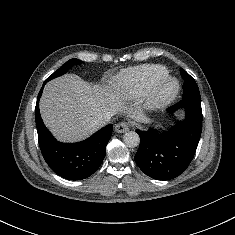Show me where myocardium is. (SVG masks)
<instances>
[{"instance_id":"obj_1","label":"myocardium","mask_w":235,"mask_h":235,"mask_svg":"<svg viewBox=\"0 0 235 235\" xmlns=\"http://www.w3.org/2000/svg\"><path fill=\"white\" fill-rule=\"evenodd\" d=\"M167 85H171L170 91L162 93V88ZM179 92V81L170 75H166L153 82L149 90L143 96V105L148 110L161 109L173 102Z\"/></svg>"}]
</instances>
